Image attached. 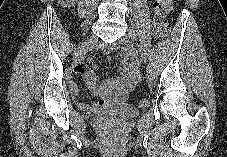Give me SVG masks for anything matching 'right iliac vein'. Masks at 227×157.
I'll return each instance as SVG.
<instances>
[{
	"label": "right iliac vein",
	"mask_w": 227,
	"mask_h": 157,
	"mask_svg": "<svg viewBox=\"0 0 227 157\" xmlns=\"http://www.w3.org/2000/svg\"><path fill=\"white\" fill-rule=\"evenodd\" d=\"M97 42L96 37L88 38L82 45L76 50L74 54V60L77 61L83 57V55L89 51Z\"/></svg>",
	"instance_id": "63e3f726"
}]
</instances>
